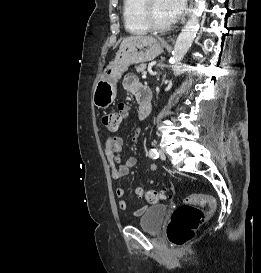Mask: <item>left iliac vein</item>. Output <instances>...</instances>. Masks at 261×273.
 <instances>
[{
    "instance_id": "obj_1",
    "label": "left iliac vein",
    "mask_w": 261,
    "mask_h": 273,
    "mask_svg": "<svg viewBox=\"0 0 261 273\" xmlns=\"http://www.w3.org/2000/svg\"><path fill=\"white\" fill-rule=\"evenodd\" d=\"M158 152H159L160 159L165 160L166 159V154H165L164 150L163 149H159Z\"/></svg>"
}]
</instances>
